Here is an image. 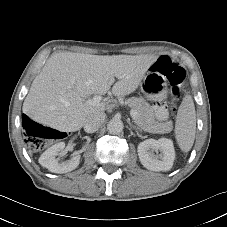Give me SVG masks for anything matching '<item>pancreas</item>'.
Instances as JSON below:
<instances>
[{"mask_svg":"<svg viewBox=\"0 0 227 227\" xmlns=\"http://www.w3.org/2000/svg\"><path fill=\"white\" fill-rule=\"evenodd\" d=\"M132 109H135L138 113L135 123L144 131L149 133H169L172 131V121L157 122L155 121L152 113V109L149 104L142 98L131 97L125 101Z\"/></svg>","mask_w":227,"mask_h":227,"instance_id":"obj_1","label":"pancreas"}]
</instances>
